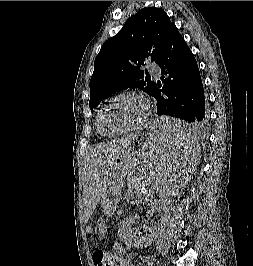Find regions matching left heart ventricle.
Listing matches in <instances>:
<instances>
[{"label":"left heart ventricle","mask_w":253,"mask_h":266,"mask_svg":"<svg viewBox=\"0 0 253 266\" xmlns=\"http://www.w3.org/2000/svg\"><path fill=\"white\" fill-rule=\"evenodd\" d=\"M143 108L142 102L134 97H123L114 101L101 114V130L112 134L129 127L142 114Z\"/></svg>","instance_id":"b2bd125f"}]
</instances>
